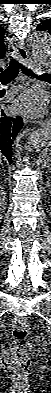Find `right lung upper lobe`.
<instances>
[{
	"label": "right lung upper lobe",
	"mask_w": 51,
	"mask_h": 393,
	"mask_svg": "<svg viewBox=\"0 0 51 393\" xmlns=\"http://www.w3.org/2000/svg\"><path fill=\"white\" fill-rule=\"evenodd\" d=\"M5 29L0 26V59L5 56V44H4ZM2 68H0V71Z\"/></svg>",
	"instance_id": "right-lung-upper-lobe-1"
}]
</instances>
